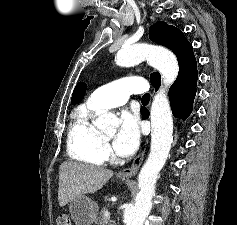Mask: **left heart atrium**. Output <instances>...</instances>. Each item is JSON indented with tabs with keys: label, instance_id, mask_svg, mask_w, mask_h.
I'll use <instances>...</instances> for the list:
<instances>
[{
	"label": "left heart atrium",
	"instance_id": "obj_1",
	"mask_svg": "<svg viewBox=\"0 0 237 225\" xmlns=\"http://www.w3.org/2000/svg\"><path fill=\"white\" fill-rule=\"evenodd\" d=\"M140 143L139 120L130 112H123L120 118V126L113 140V148L121 157L131 156Z\"/></svg>",
	"mask_w": 237,
	"mask_h": 225
}]
</instances>
